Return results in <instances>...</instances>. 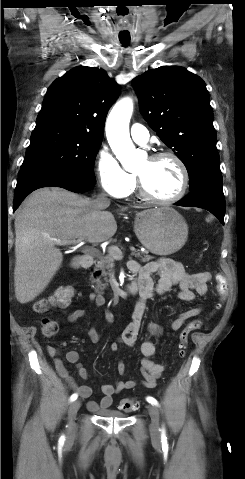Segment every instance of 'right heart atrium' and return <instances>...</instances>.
Instances as JSON below:
<instances>
[{
    "mask_svg": "<svg viewBox=\"0 0 245 479\" xmlns=\"http://www.w3.org/2000/svg\"><path fill=\"white\" fill-rule=\"evenodd\" d=\"M96 170L100 186L109 196H124L130 185L129 174L121 168L116 157L107 148L99 151Z\"/></svg>",
    "mask_w": 245,
    "mask_h": 479,
    "instance_id": "1",
    "label": "right heart atrium"
}]
</instances>
